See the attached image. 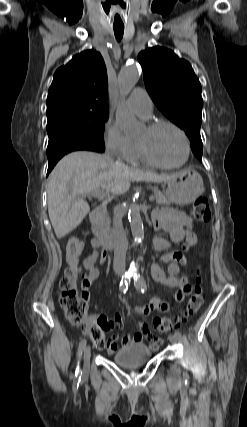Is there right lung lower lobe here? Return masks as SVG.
<instances>
[{"label": "right lung lower lobe", "mask_w": 247, "mask_h": 427, "mask_svg": "<svg viewBox=\"0 0 247 427\" xmlns=\"http://www.w3.org/2000/svg\"><path fill=\"white\" fill-rule=\"evenodd\" d=\"M78 150H88L101 153L104 152L105 149L103 150L87 140L71 135L57 134L50 136L47 147V157L49 162L47 175L61 157L69 152Z\"/></svg>", "instance_id": "1"}]
</instances>
